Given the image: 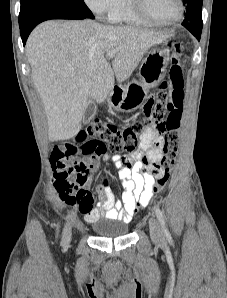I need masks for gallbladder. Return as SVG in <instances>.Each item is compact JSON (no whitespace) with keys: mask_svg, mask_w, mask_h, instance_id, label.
<instances>
[{"mask_svg":"<svg viewBox=\"0 0 227 298\" xmlns=\"http://www.w3.org/2000/svg\"><path fill=\"white\" fill-rule=\"evenodd\" d=\"M95 114H96V105L93 101L89 100L84 111L83 122L89 123L91 119L95 116Z\"/></svg>","mask_w":227,"mask_h":298,"instance_id":"obj_1","label":"gallbladder"}]
</instances>
